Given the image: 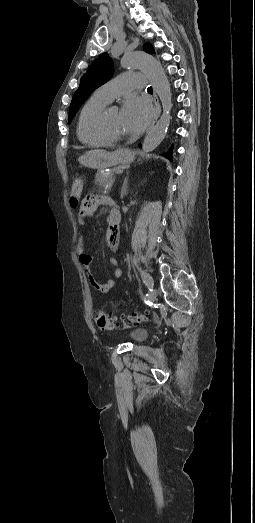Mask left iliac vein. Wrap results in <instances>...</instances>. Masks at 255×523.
<instances>
[{"label":"left iliac vein","instance_id":"4c4485c4","mask_svg":"<svg viewBox=\"0 0 255 523\" xmlns=\"http://www.w3.org/2000/svg\"><path fill=\"white\" fill-rule=\"evenodd\" d=\"M145 275H146V278L148 280L149 285L152 286L153 285V279H152L151 275L148 274V273H145ZM156 297H157V291H156V289L152 288L150 293H149V301H151V302L155 301Z\"/></svg>","mask_w":255,"mask_h":523}]
</instances>
